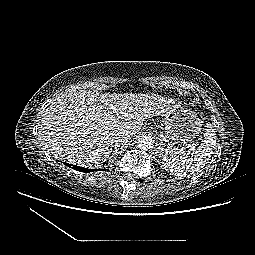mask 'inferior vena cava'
Segmentation results:
<instances>
[{
	"instance_id": "602c4592",
	"label": "inferior vena cava",
	"mask_w": 255,
	"mask_h": 255,
	"mask_svg": "<svg viewBox=\"0 0 255 255\" xmlns=\"http://www.w3.org/2000/svg\"><path fill=\"white\" fill-rule=\"evenodd\" d=\"M131 138V135L127 132H120L117 133V135L115 136V143L117 145L119 144H123V143H127Z\"/></svg>"
}]
</instances>
